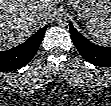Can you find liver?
Returning <instances> with one entry per match:
<instances>
[{
  "label": "liver",
  "instance_id": "liver-1",
  "mask_svg": "<svg viewBox=\"0 0 111 106\" xmlns=\"http://www.w3.org/2000/svg\"><path fill=\"white\" fill-rule=\"evenodd\" d=\"M57 3V0H1V49H10L22 43L47 21Z\"/></svg>",
  "mask_w": 111,
  "mask_h": 106
}]
</instances>
